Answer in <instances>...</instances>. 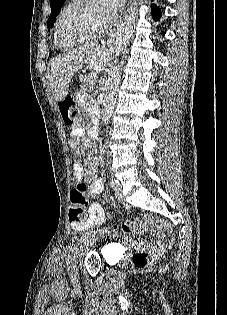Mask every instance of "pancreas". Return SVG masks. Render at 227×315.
Masks as SVG:
<instances>
[{
	"label": "pancreas",
	"mask_w": 227,
	"mask_h": 315,
	"mask_svg": "<svg viewBox=\"0 0 227 315\" xmlns=\"http://www.w3.org/2000/svg\"><path fill=\"white\" fill-rule=\"evenodd\" d=\"M92 74H85L80 76L81 88L84 91L91 92L94 88L95 81L91 78Z\"/></svg>",
	"instance_id": "cf45deb5"
}]
</instances>
